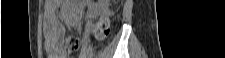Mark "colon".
Returning a JSON list of instances; mask_svg holds the SVG:
<instances>
[{
	"label": "colon",
	"instance_id": "5ec220e1",
	"mask_svg": "<svg viewBox=\"0 0 225 58\" xmlns=\"http://www.w3.org/2000/svg\"><path fill=\"white\" fill-rule=\"evenodd\" d=\"M109 34V20L106 17H102L98 20L95 31L94 37L98 41L104 40L107 35ZM79 46V41L76 38H70L64 47L65 54H71L75 51Z\"/></svg>",
	"mask_w": 225,
	"mask_h": 58
}]
</instances>
